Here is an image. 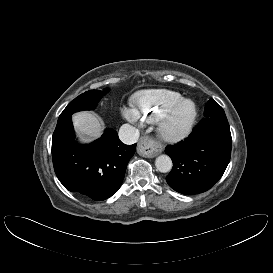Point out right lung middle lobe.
I'll list each match as a JSON object with an SVG mask.
<instances>
[{
    "label": "right lung middle lobe",
    "mask_w": 273,
    "mask_h": 273,
    "mask_svg": "<svg viewBox=\"0 0 273 273\" xmlns=\"http://www.w3.org/2000/svg\"><path fill=\"white\" fill-rule=\"evenodd\" d=\"M107 91L108 89L104 90V92ZM104 92L98 90H90L79 95L67 105L64 111L60 114L58 121L71 117V115L75 112L93 109Z\"/></svg>",
    "instance_id": "1"
}]
</instances>
